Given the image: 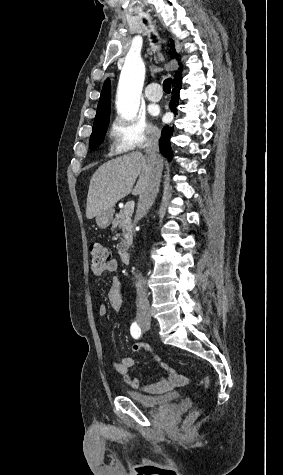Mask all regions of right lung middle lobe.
I'll return each instance as SVG.
<instances>
[{"mask_svg": "<svg viewBox=\"0 0 283 475\" xmlns=\"http://www.w3.org/2000/svg\"><path fill=\"white\" fill-rule=\"evenodd\" d=\"M110 105L97 107L92 134L90 137V150L97 149L104 140L110 118Z\"/></svg>", "mask_w": 283, "mask_h": 475, "instance_id": "obj_1", "label": "right lung middle lobe"}]
</instances>
